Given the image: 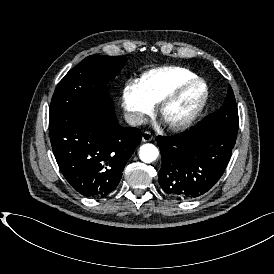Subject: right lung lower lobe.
Instances as JSON below:
<instances>
[{"mask_svg": "<svg viewBox=\"0 0 274 274\" xmlns=\"http://www.w3.org/2000/svg\"><path fill=\"white\" fill-rule=\"evenodd\" d=\"M49 135L65 179L92 198H104L116 189L142 136L138 128L120 126L111 108L67 114L50 123Z\"/></svg>", "mask_w": 274, "mask_h": 274, "instance_id": "right-lung-lower-lobe-1", "label": "right lung lower lobe"}]
</instances>
